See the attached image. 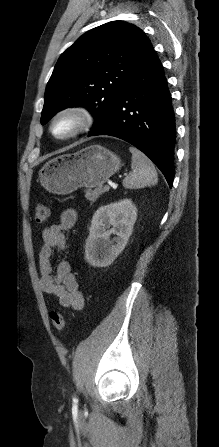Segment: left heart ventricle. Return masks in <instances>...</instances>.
<instances>
[{"mask_svg":"<svg viewBox=\"0 0 219 447\" xmlns=\"http://www.w3.org/2000/svg\"><path fill=\"white\" fill-rule=\"evenodd\" d=\"M73 126H74V121L72 119L64 118V119L59 120L55 124L54 131L58 135L65 134L68 131H70Z\"/></svg>","mask_w":219,"mask_h":447,"instance_id":"1","label":"left heart ventricle"}]
</instances>
